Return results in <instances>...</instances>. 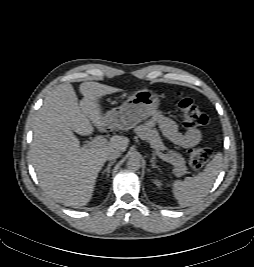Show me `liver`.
<instances>
[{
  "instance_id": "6515ba94",
  "label": "liver",
  "mask_w": 254,
  "mask_h": 267,
  "mask_svg": "<svg viewBox=\"0 0 254 267\" xmlns=\"http://www.w3.org/2000/svg\"><path fill=\"white\" fill-rule=\"evenodd\" d=\"M78 97L70 83L53 89L44 99L33 123V141L29 151L31 163L43 190L56 202L74 208L92 198L99 172L111 150L125 152L129 139L113 136L102 146H80L79 135H90L94 126L113 128L102 113L100 99L121 89L83 82Z\"/></svg>"
}]
</instances>
